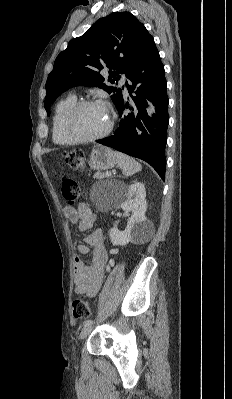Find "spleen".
Listing matches in <instances>:
<instances>
[{
  "instance_id": "obj_1",
  "label": "spleen",
  "mask_w": 232,
  "mask_h": 399,
  "mask_svg": "<svg viewBox=\"0 0 232 399\" xmlns=\"http://www.w3.org/2000/svg\"><path fill=\"white\" fill-rule=\"evenodd\" d=\"M116 154V164L117 168L122 170L124 176H133L137 172H141L142 166L130 156H125V154H120V152H115Z\"/></svg>"
}]
</instances>
